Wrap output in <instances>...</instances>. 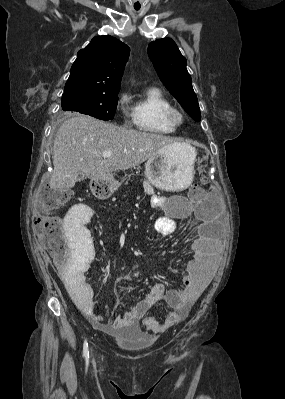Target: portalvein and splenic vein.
Wrapping results in <instances>:
<instances>
[{
	"instance_id": "obj_1",
	"label": "portal vein and splenic vein",
	"mask_w": 285,
	"mask_h": 399,
	"mask_svg": "<svg viewBox=\"0 0 285 399\" xmlns=\"http://www.w3.org/2000/svg\"><path fill=\"white\" fill-rule=\"evenodd\" d=\"M112 154H113V153H112L111 151H105V152H103L101 155H102V157H104V158H108V157H110Z\"/></svg>"
}]
</instances>
